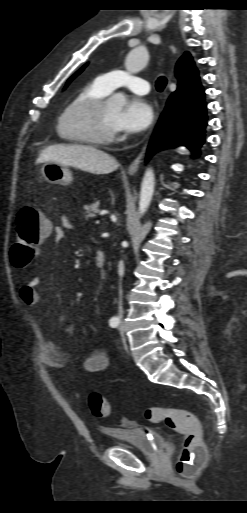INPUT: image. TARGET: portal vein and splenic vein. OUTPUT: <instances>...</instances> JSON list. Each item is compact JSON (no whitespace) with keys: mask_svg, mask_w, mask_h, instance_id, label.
Masks as SVG:
<instances>
[{"mask_svg":"<svg viewBox=\"0 0 247 513\" xmlns=\"http://www.w3.org/2000/svg\"><path fill=\"white\" fill-rule=\"evenodd\" d=\"M96 223H100V221H99V220H97V221H96Z\"/></svg>","mask_w":247,"mask_h":513,"instance_id":"portal-vein-and-splenic-vein-1","label":"portal vein and splenic vein"}]
</instances>
